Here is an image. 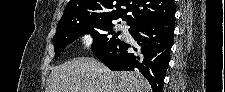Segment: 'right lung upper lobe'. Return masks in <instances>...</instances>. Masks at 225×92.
<instances>
[{"mask_svg":"<svg viewBox=\"0 0 225 92\" xmlns=\"http://www.w3.org/2000/svg\"><path fill=\"white\" fill-rule=\"evenodd\" d=\"M128 12L131 15H126ZM174 15V0H70L57 29L80 20L112 22L124 17L127 25L133 26L141 21L166 20Z\"/></svg>","mask_w":225,"mask_h":92,"instance_id":"obj_1","label":"right lung upper lobe"}]
</instances>
